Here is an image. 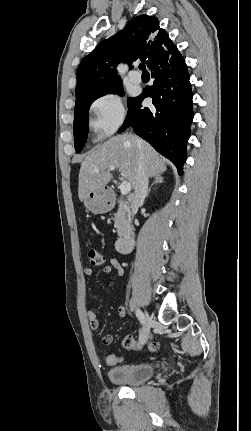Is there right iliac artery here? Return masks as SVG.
<instances>
[{"label":"right iliac artery","instance_id":"right-iliac-artery-1","mask_svg":"<svg viewBox=\"0 0 251 431\" xmlns=\"http://www.w3.org/2000/svg\"><path fill=\"white\" fill-rule=\"evenodd\" d=\"M136 316L141 324H144L145 322V316L140 310H136Z\"/></svg>","mask_w":251,"mask_h":431}]
</instances>
